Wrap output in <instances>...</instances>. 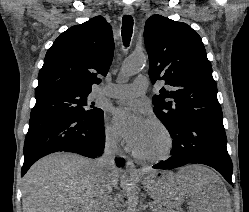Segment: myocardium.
Returning <instances> with one entry per match:
<instances>
[{
	"label": "myocardium",
	"instance_id": "myocardium-1",
	"mask_svg": "<svg viewBox=\"0 0 249 212\" xmlns=\"http://www.w3.org/2000/svg\"><path fill=\"white\" fill-rule=\"evenodd\" d=\"M147 122L156 125L161 130L166 140V148L161 153L155 155H141L135 152L133 156L143 162H156L170 158L175 149V139L172 132L163 121L156 117L149 118Z\"/></svg>",
	"mask_w": 249,
	"mask_h": 212
}]
</instances>
